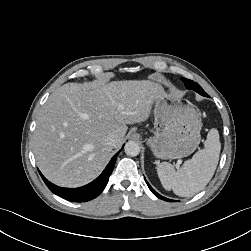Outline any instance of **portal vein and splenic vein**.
Here are the masks:
<instances>
[{
  "mask_svg": "<svg viewBox=\"0 0 251 251\" xmlns=\"http://www.w3.org/2000/svg\"><path fill=\"white\" fill-rule=\"evenodd\" d=\"M180 164H181V163H178V164H177V168L180 166Z\"/></svg>",
  "mask_w": 251,
  "mask_h": 251,
  "instance_id": "1",
  "label": "portal vein and splenic vein"
}]
</instances>
